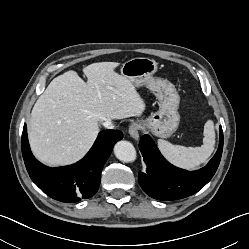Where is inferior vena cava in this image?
<instances>
[{
	"label": "inferior vena cava",
	"mask_w": 249,
	"mask_h": 249,
	"mask_svg": "<svg viewBox=\"0 0 249 249\" xmlns=\"http://www.w3.org/2000/svg\"><path fill=\"white\" fill-rule=\"evenodd\" d=\"M102 125L106 128V129H113L114 128V124L111 120H106L102 123Z\"/></svg>",
	"instance_id": "inferior-vena-cava-1"
}]
</instances>
